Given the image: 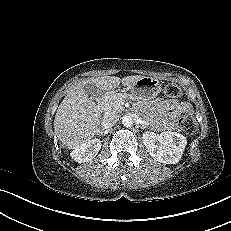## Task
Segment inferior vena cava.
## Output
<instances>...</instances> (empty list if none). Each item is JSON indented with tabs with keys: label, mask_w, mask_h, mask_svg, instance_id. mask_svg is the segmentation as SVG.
<instances>
[{
	"label": "inferior vena cava",
	"mask_w": 231,
	"mask_h": 231,
	"mask_svg": "<svg viewBox=\"0 0 231 231\" xmlns=\"http://www.w3.org/2000/svg\"><path fill=\"white\" fill-rule=\"evenodd\" d=\"M118 119H119L118 116L115 114H107L104 116L102 120V126L105 129L112 127L113 125L117 123Z\"/></svg>",
	"instance_id": "602c4592"
}]
</instances>
